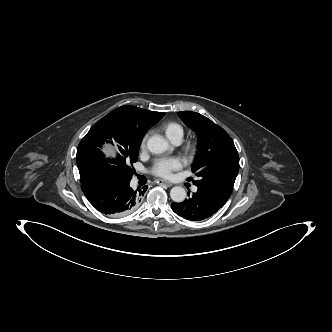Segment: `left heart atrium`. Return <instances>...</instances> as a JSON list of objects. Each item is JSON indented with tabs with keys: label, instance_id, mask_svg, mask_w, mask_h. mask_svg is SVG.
Here are the masks:
<instances>
[{
	"label": "left heart atrium",
	"instance_id": "left-heart-atrium-1",
	"mask_svg": "<svg viewBox=\"0 0 332 332\" xmlns=\"http://www.w3.org/2000/svg\"><path fill=\"white\" fill-rule=\"evenodd\" d=\"M183 167V161L179 157H169L158 159L153 168L152 173L163 178H170L174 171Z\"/></svg>",
	"mask_w": 332,
	"mask_h": 332
}]
</instances>
